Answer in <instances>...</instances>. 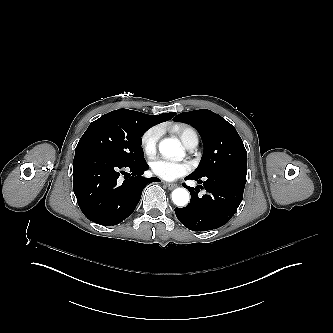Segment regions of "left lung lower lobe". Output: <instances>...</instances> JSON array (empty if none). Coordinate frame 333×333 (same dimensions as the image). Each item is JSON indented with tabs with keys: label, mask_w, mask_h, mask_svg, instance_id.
I'll use <instances>...</instances> for the list:
<instances>
[{
	"label": "left lung lower lobe",
	"mask_w": 333,
	"mask_h": 333,
	"mask_svg": "<svg viewBox=\"0 0 333 333\" xmlns=\"http://www.w3.org/2000/svg\"><path fill=\"white\" fill-rule=\"evenodd\" d=\"M247 170L225 169L207 178L203 187L196 188L182 184L191 193V203L184 208H175L179 221L189 230L202 231L216 229L226 224L236 213L243 199ZM186 179L201 180L189 175ZM207 194L198 196L200 189Z\"/></svg>",
	"instance_id": "1"
}]
</instances>
